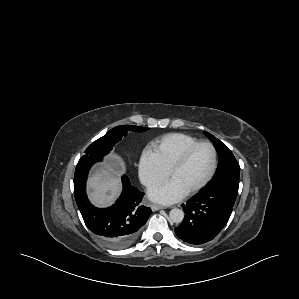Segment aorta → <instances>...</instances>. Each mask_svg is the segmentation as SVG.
<instances>
[{"instance_id":"aorta-1","label":"aorta","mask_w":299,"mask_h":299,"mask_svg":"<svg viewBox=\"0 0 299 299\" xmlns=\"http://www.w3.org/2000/svg\"><path fill=\"white\" fill-rule=\"evenodd\" d=\"M169 219L174 223H181L184 219V212L181 209L173 208L170 210Z\"/></svg>"}]
</instances>
